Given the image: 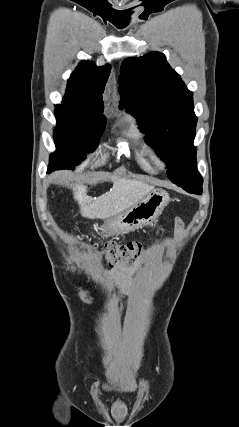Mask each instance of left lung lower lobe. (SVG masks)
I'll list each match as a JSON object with an SVG mask.
<instances>
[{
  "mask_svg": "<svg viewBox=\"0 0 239 427\" xmlns=\"http://www.w3.org/2000/svg\"><path fill=\"white\" fill-rule=\"evenodd\" d=\"M182 188L185 191L192 193V194H198V195L202 194V184L193 185L192 187L183 186Z\"/></svg>",
  "mask_w": 239,
  "mask_h": 427,
  "instance_id": "1",
  "label": "left lung lower lobe"
}]
</instances>
